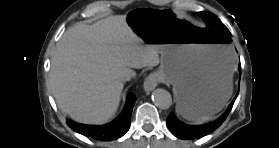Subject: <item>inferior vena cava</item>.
I'll list each match as a JSON object with an SVG mask.
<instances>
[{"mask_svg":"<svg viewBox=\"0 0 279 148\" xmlns=\"http://www.w3.org/2000/svg\"><path fill=\"white\" fill-rule=\"evenodd\" d=\"M130 79H131V74H130V73H127V72L121 74V76H120V80H121L122 82L129 81Z\"/></svg>","mask_w":279,"mask_h":148,"instance_id":"obj_1","label":"inferior vena cava"}]
</instances>
